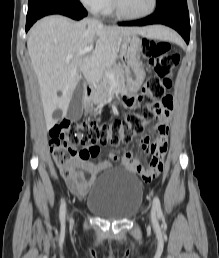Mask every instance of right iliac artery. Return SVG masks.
Listing matches in <instances>:
<instances>
[{"instance_id":"obj_1","label":"right iliac artery","mask_w":219,"mask_h":258,"mask_svg":"<svg viewBox=\"0 0 219 258\" xmlns=\"http://www.w3.org/2000/svg\"><path fill=\"white\" fill-rule=\"evenodd\" d=\"M65 211H66V203L63 200L60 207V219L61 221H64L65 219Z\"/></svg>"}]
</instances>
